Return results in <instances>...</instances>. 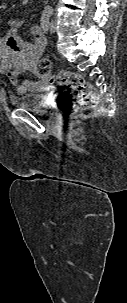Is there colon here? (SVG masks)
Returning <instances> with one entry per match:
<instances>
[{"label":"colon","mask_w":127,"mask_h":303,"mask_svg":"<svg viewBox=\"0 0 127 303\" xmlns=\"http://www.w3.org/2000/svg\"><path fill=\"white\" fill-rule=\"evenodd\" d=\"M36 69L40 76L49 75L51 73L50 61L45 58L39 60ZM52 80L63 89L59 102L65 112L74 113L95 107L96 90L79 73L62 70L54 74Z\"/></svg>","instance_id":"5ec220e1"}]
</instances>
